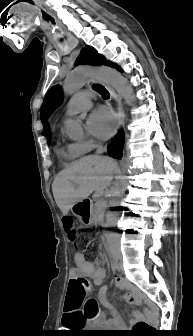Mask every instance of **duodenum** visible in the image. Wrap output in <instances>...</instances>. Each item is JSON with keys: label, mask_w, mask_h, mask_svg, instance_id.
Wrapping results in <instances>:
<instances>
[{"label": "duodenum", "mask_w": 193, "mask_h": 336, "mask_svg": "<svg viewBox=\"0 0 193 336\" xmlns=\"http://www.w3.org/2000/svg\"><path fill=\"white\" fill-rule=\"evenodd\" d=\"M113 258H114L115 260H117V259H118V255H117V253H116V250H115V249L113 250Z\"/></svg>", "instance_id": "1"}]
</instances>
